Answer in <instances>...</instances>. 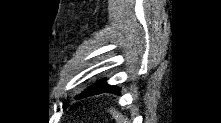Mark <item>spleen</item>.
I'll return each mask as SVG.
<instances>
[{"label":"spleen","instance_id":"3e777b00","mask_svg":"<svg viewBox=\"0 0 221 123\" xmlns=\"http://www.w3.org/2000/svg\"><path fill=\"white\" fill-rule=\"evenodd\" d=\"M112 116L115 118L117 123H128L127 118L116 112L115 110H110Z\"/></svg>","mask_w":221,"mask_h":123}]
</instances>
